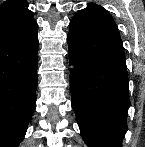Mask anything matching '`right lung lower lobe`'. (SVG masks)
<instances>
[{
	"label": "right lung lower lobe",
	"instance_id": "98d812e1",
	"mask_svg": "<svg viewBox=\"0 0 145 147\" xmlns=\"http://www.w3.org/2000/svg\"><path fill=\"white\" fill-rule=\"evenodd\" d=\"M37 23L0 40V147H17L36 106Z\"/></svg>",
	"mask_w": 145,
	"mask_h": 147
}]
</instances>
